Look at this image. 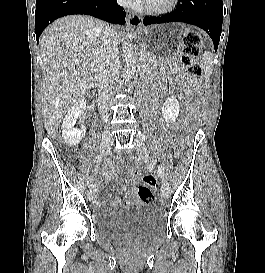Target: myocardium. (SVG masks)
<instances>
[{"instance_id":"f54148a6","label":"myocardium","mask_w":265,"mask_h":273,"mask_svg":"<svg viewBox=\"0 0 265 273\" xmlns=\"http://www.w3.org/2000/svg\"><path fill=\"white\" fill-rule=\"evenodd\" d=\"M178 2L179 0H169L164 6H152L145 2L141 9L151 15H163L173 11L177 7Z\"/></svg>"}]
</instances>
